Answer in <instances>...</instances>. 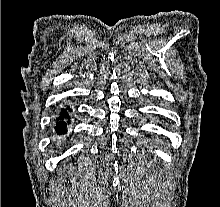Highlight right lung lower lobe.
<instances>
[{
  "mask_svg": "<svg viewBox=\"0 0 220 207\" xmlns=\"http://www.w3.org/2000/svg\"><path fill=\"white\" fill-rule=\"evenodd\" d=\"M68 109H69V108H68ZM64 118L69 119V115H68V113L66 112L65 109H62V110H61V116L59 117V119H57V120H59V121L57 122V125H56V127H55V130L57 131V133H58L59 135L64 134V133L66 132L65 128H66V126H67V123L64 122V121H62V119H64ZM68 123H69V122H68Z\"/></svg>",
  "mask_w": 220,
  "mask_h": 207,
  "instance_id": "98d812e1",
  "label": "right lung lower lobe"
}]
</instances>
